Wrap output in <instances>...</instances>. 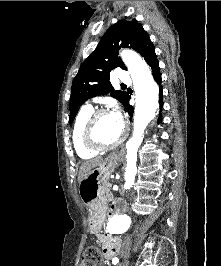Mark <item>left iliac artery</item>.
<instances>
[{
	"label": "left iliac artery",
	"mask_w": 221,
	"mask_h": 266,
	"mask_svg": "<svg viewBox=\"0 0 221 266\" xmlns=\"http://www.w3.org/2000/svg\"><path fill=\"white\" fill-rule=\"evenodd\" d=\"M119 259L117 257L113 258L112 263L116 265L118 263Z\"/></svg>",
	"instance_id": "left-iliac-artery-1"
}]
</instances>
